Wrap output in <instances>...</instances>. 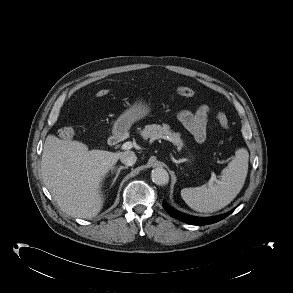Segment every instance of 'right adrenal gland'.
<instances>
[{"mask_svg": "<svg viewBox=\"0 0 293 293\" xmlns=\"http://www.w3.org/2000/svg\"><path fill=\"white\" fill-rule=\"evenodd\" d=\"M122 169H128V166H120L119 168H117V169L114 170V172L116 171V175H115V177H114L111 185H114V183L116 182V180H117V178H118V176L120 174V171Z\"/></svg>", "mask_w": 293, "mask_h": 293, "instance_id": "obj_1", "label": "right adrenal gland"}]
</instances>
